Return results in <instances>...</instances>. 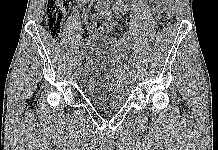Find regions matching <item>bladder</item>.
<instances>
[{"label":"bladder","instance_id":"31cf9c89","mask_svg":"<svg viewBox=\"0 0 218 150\" xmlns=\"http://www.w3.org/2000/svg\"><path fill=\"white\" fill-rule=\"evenodd\" d=\"M122 60L116 41L104 36L89 40L79 82L83 94L94 106L120 108L127 102L132 81Z\"/></svg>","mask_w":218,"mask_h":150}]
</instances>
